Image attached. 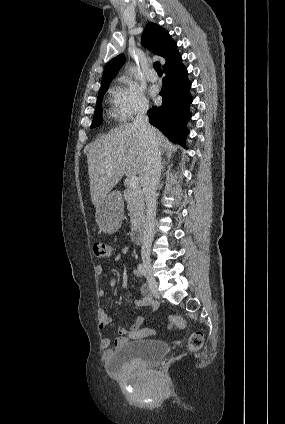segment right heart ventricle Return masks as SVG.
I'll return each instance as SVG.
<instances>
[{
    "mask_svg": "<svg viewBox=\"0 0 285 424\" xmlns=\"http://www.w3.org/2000/svg\"><path fill=\"white\" fill-rule=\"evenodd\" d=\"M111 96L109 97V107L107 110L108 118L114 121H121V115L117 109L116 101H115V88L111 89Z\"/></svg>",
    "mask_w": 285,
    "mask_h": 424,
    "instance_id": "obj_1",
    "label": "right heart ventricle"
}]
</instances>
